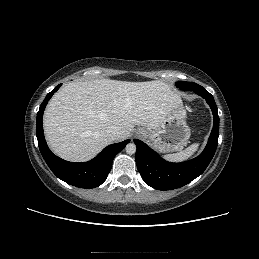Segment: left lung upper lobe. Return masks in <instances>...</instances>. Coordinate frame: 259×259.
<instances>
[{
  "mask_svg": "<svg viewBox=\"0 0 259 259\" xmlns=\"http://www.w3.org/2000/svg\"><path fill=\"white\" fill-rule=\"evenodd\" d=\"M176 86L181 90H193V91H196L202 87L196 83H191V82H177Z\"/></svg>",
  "mask_w": 259,
  "mask_h": 259,
  "instance_id": "obj_1",
  "label": "left lung upper lobe"
}]
</instances>
